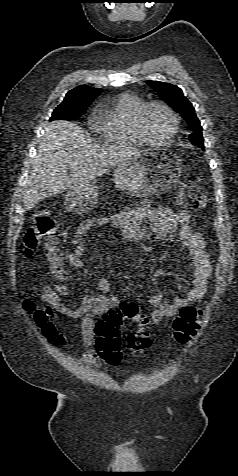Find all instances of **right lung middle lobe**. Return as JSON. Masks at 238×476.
Masks as SVG:
<instances>
[{"mask_svg":"<svg viewBox=\"0 0 238 476\" xmlns=\"http://www.w3.org/2000/svg\"><path fill=\"white\" fill-rule=\"evenodd\" d=\"M89 105L63 101L52 113L50 120H75L82 116Z\"/></svg>","mask_w":238,"mask_h":476,"instance_id":"obj_1","label":"right lung middle lobe"}]
</instances>
